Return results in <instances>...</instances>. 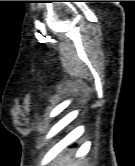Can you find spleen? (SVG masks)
<instances>
[{
	"label": "spleen",
	"instance_id": "spleen-1",
	"mask_svg": "<svg viewBox=\"0 0 135 166\" xmlns=\"http://www.w3.org/2000/svg\"><path fill=\"white\" fill-rule=\"evenodd\" d=\"M55 166H79L77 163L69 164V157L61 159Z\"/></svg>",
	"mask_w": 135,
	"mask_h": 166
}]
</instances>
